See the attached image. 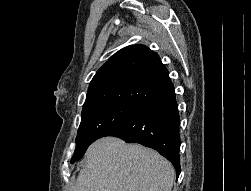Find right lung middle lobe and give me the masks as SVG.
<instances>
[{"instance_id": "dd1d6c3e", "label": "right lung middle lobe", "mask_w": 251, "mask_h": 191, "mask_svg": "<svg viewBox=\"0 0 251 191\" xmlns=\"http://www.w3.org/2000/svg\"><path fill=\"white\" fill-rule=\"evenodd\" d=\"M141 107L126 103H106L82 111L81 124L76 137V148L71 163L79 160L91 143L104 137L115 129Z\"/></svg>"}]
</instances>
